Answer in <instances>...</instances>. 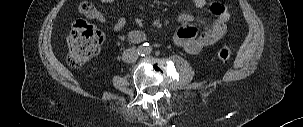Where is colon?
<instances>
[{
    "label": "colon",
    "mask_w": 303,
    "mask_h": 127,
    "mask_svg": "<svg viewBox=\"0 0 303 127\" xmlns=\"http://www.w3.org/2000/svg\"><path fill=\"white\" fill-rule=\"evenodd\" d=\"M79 10L88 14L92 10V5L88 1L81 2ZM102 41L103 34L98 28L85 19H77L67 38L68 64L74 68L83 65L99 52ZM217 57L221 60L227 59V49H219Z\"/></svg>",
    "instance_id": "5ec220e1"
}]
</instances>
